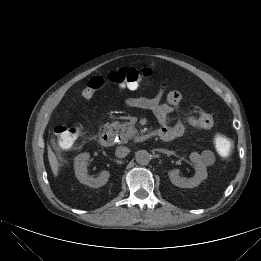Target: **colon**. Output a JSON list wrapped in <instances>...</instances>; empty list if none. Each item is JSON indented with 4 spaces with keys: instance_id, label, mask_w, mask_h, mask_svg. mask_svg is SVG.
Returning <instances> with one entry per match:
<instances>
[{
    "instance_id": "obj_1",
    "label": "colon",
    "mask_w": 261,
    "mask_h": 261,
    "mask_svg": "<svg viewBox=\"0 0 261 261\" xmlns=\"http://www.w3.org/2000/svg\"><path fill=\"white\" fill-rule=\"evenodd\" d=\"M152 75L150 68L138 69L135 67L120 68L109 72L106 77L94 76L92 77L82 95L84 98H92L95 93L103 87L106 82H111L116 85H139L142 81ZM82 132L81 126H57L54 129V134L57 138L58 144L61 148H70L79 138ZM214 146L218 154L222 157L231 155L234 149L233 141L222 133H217L214 136Z\"/></svg>"
}]
</instances>
